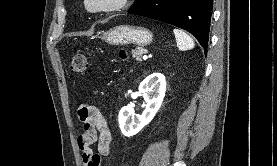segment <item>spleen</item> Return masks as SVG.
<instances>
[{
	"mask_svg": "<svg viewBox=\"0 0 277 166\" xmlns=\"http://www.w3.org/2000/svg\"><path fill=\"white\" fill-rule=\"evenodd\" d=\"M173 32L179 50L186 51L195 47L193 39L186 32L176 28L173 30Z\"/></svg>",
	"mask_w": 277,
	"mask_h": 166,
	"instance_id": "spleen-1",
	"label": "spleen"
}]
</instances>
